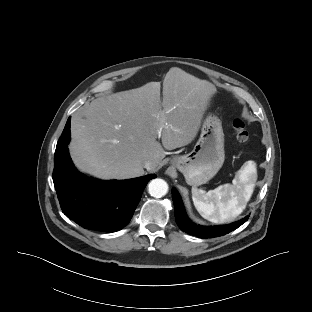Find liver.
I'll list each match as a JSON object with an SVG mask.
<instances>
[{
  "label": "liver",
  "instance_id": "1",
  "mask_svg": "<svg viewBox=\"0 0 312 312\" xmlns=\"http://www.w3.org/2000/svg\"><path fill=\"white\" fill-rule=\"evenodd\" d=\"M160 88V82H149L77 110L69 146L75 166L103 180L130 179L144 174L146 160L157 167L165 150L191 143L217 92L215 86L171 68L163 81L162 103Z\"/></svg>",
  "mask_w": 312,
  "mask_h": 312
}]
</instances>
